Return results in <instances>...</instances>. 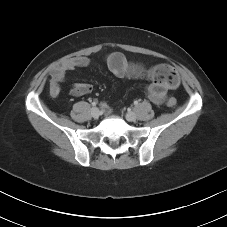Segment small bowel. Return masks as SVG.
Returning <instances> with one entry per match:
<instances>
[{
  "label": "small bowel",
  "instance_id": "1",
  "mask_svg": "<svg viewBox=\"0 0 227 227\" xmlns=\"http://www.w3.org/2000/svg\"><path fill=\"white\" fill-rule=\"evenodd\" d=\"M91 61L87 57L77 56L55 67L50 73V94L55 97L59 94L60 84L64 81L68 71L75 68L87 67ZM106 64L110 72L116 77H147L150 83L146 87L147 97L156 105H162L169 89L176 86L168 85L159 80L155 66L146 69L141 63L129 61L122 53L114 52L108 55ZM92 85L78 82L72 85L70 93L73 96H82L92 91Z\"/></svg>",
  "mask_w": 227,
  "mask_h": 227
}]
</instances>
